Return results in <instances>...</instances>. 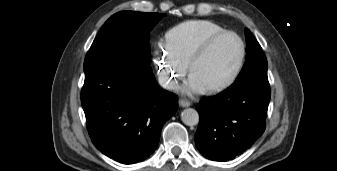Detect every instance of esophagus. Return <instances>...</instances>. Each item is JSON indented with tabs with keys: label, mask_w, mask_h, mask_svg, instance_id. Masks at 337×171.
Wrapping results in <instances>:
<instances>
[{
	"label": "esophagus",
	"mask_w": 337,
	"mask_h": 171,
	"mask_svg": "<svg viewBox=\"0 0 337 171\" xmlns=\"http://www.w3.org/2000/svg\"><path fill=\"white\" fill-rule=\"evenodd\" d=\"M179 105L181 107H189L191 105V103L188 100L180 99L179 100Z\"/></svg>",
	"instance_id": "esophagus-1"
}]
</instances>
